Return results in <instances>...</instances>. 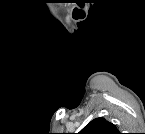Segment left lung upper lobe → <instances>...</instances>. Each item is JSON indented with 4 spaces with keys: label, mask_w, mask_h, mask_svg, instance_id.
<instances>
[{
    "label": "left lung upper lobe",
    "mask_w": 145,
    "mask_h": 134,
    "mask_svg": "<svg viewBox=\"0 0 145 134\" xmlns=\"http://www.w3.org/2000/svg\"><path fill=\"white\" fill-rule=\"evenodd\" d=\"M80 134H119L116 126L104 118H96L89 122L80 132Z\"/></svg>",
    "instance_id": "obj_1"
}]
</instances>
